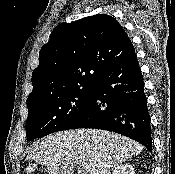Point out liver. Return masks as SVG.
Masks as SVG:
<instances>
[{"instance_id":"1","label":"liver","mask_w":175,"mask_h":174,"mask_svg":"<svg viewBox=\"0 0 175 174\" xmlns=\"http://www.w3.org/2000/svg\"><path fill=\"white\" fill-rule=\"evenodd\" d=\"M142 150L138 142L106 130L57 132L29 149L27 159L35 163L26 167V173L45 165L49 174H73L77 165L87 164L85 174H110L114 167Z\"/></svg>"}]
</instances>
